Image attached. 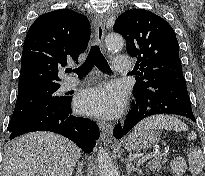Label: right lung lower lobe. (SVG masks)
Here are the masks:
<instances>
[{
	"label": "right lung lower lobe",
	"instance_id": "98d812e1",
	"mask_svg": "<svg viewBox=\"0 0 205 176\" xmlns=\"http://www.w3.org/2000/svg\"><path fill=\"white\" fill-rule=\"evenodd\" d=\"M70 97L62 102H53L41 109L16 130L10 132V139L33 131H51L61 134L76 143L85 153H91L99 137L98 126L87 118L72 114Z\"/></svg>",
	"mask_w": 205,
	"mask_h": 176
}]
</instances>
